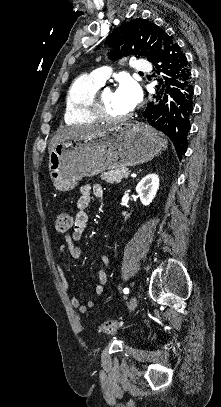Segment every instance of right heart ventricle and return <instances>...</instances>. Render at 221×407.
I'll return each instance as SVG.
<instances>
[{
    "label": "right heart ventricle",
    "instance_id": "obj_1",
    "mask_svg": "<svg viewBox=\"0 0 221 407\" xmlns=\"http://www.w3.org/2000/svg\"><path fill=\"white\" fill-rule=\"evenodd\" d=\"M102 85L89 75H81L69 86L64 104V121L68 124H87L97 121L90 106Z\"/></svg>",
    "mask_w": 221,
    "mask_h": 407
}]
</instances>
